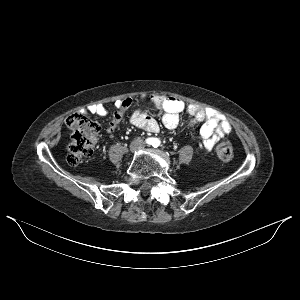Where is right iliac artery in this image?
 <instances>
[{
  "label": "right iliac artery",
  "instance_id": "right-iliac-artery-1",
  "mask_svg": "<svg viewBox=\"0 0 300 300\" xmlns=\"http://www.w3.org/2000/svg\"><path fill=\"white\" fill-rule=\"evenodd\" d=\"M146 143L152 145L154 143V140L152 138H148L146 139Z\"/></svg>",
  "mask_w": 300,
  "mask_h": 300
}]
</instances>
